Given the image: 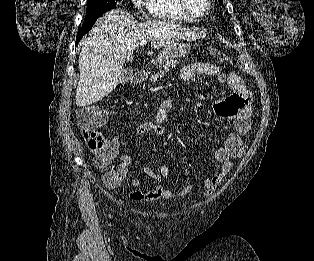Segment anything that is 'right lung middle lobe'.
Listing matches in <instances>:
<instances>
[{
  "label": "right lung middle lobe",
  "mask_w": 314,
  "mask_h": 261,
  "mask_svg": "<svg viewBox=\"0 0 314 261\" xmlns=\"http://www.w3.org/2000/svg\"><path fill=\"white\" fill-rule=\"evenodd\" d=\"M118 0H88L83 25L96 21L101 15L116 6Z\"/></svg>",
  "instance_id": "1"
}]
</instances>
